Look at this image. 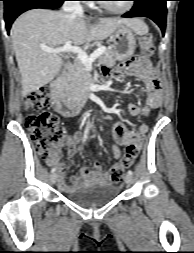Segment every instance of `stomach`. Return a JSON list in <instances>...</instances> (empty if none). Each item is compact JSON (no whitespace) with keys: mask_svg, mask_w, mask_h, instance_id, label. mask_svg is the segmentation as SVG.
I'll list each match as a JSON object with an SVG mask.
<instances>
[{"mask_svg":"<svg viewBox=\"0 0 194 253\" xmlns=\"http://www.w3.org/2000/svg\"><path fill=\"white\" fill-rule=\"evenodd\" d=\"M115 59L122 61L133 55L136 39L133 29L126 25H119L111 35Z\"/></svg>","mask_w":194,"mask_h":253,"instance_id":"1","label":"stomach"}]
</instances>
